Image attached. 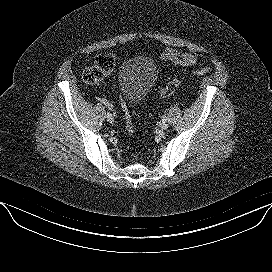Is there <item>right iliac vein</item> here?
<instances>
[{
    "mask_svg": "<svg viewBox=\"0 0 272 272\" xmlns=\"http://www.w3.org/2000/svg\"><path fill=\"white\" fill-rule=\"evenodd\" d=\"M106 118H107V121H108L109 123H112V122L114 121L113 116H111V117H106Z\"/></svg>",
    "mask_w": 272,
    "mask_h": 272,
    "instance_id": "1",
    "label": "right iliac vein"
}]
</instances>
